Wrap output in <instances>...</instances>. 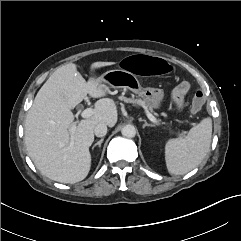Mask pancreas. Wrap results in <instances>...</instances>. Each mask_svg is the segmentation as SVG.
<instances>
[{
  "mask_svg": "<svg viewBox=\"0 0 241 241\" xmlns=\"http://www.w3.org/2000/svg\"><path fill=\"white\" fill-rule=\"evenodd\" d=\"M120 99L127 103L137 104V105H140L145 108L148 107V105L141 99H130V98H126V97H120ZM149 109H150V111H152V109L150 107H149Z\"/></svg>",
  "mask_w": 241,
  "mask_h": 241,
  "instance_id": "pancreas-1",
  "label": "pancreas"
}]
</instances>
